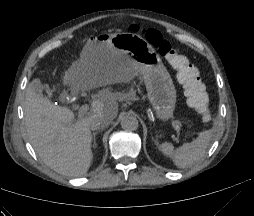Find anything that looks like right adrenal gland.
<instances>
[{
  "label": "right adrenal gland",
  "mask_w": 254,
  "mask_h": 216,
  "mask_svg": "<svg viewBox=\"0 0 254 216\" xmlns=\"http://www.w3.org/2000/svg\"><path fill=\"white\" fill-rule=\"evenodd\" d=\"M96 134H97V132H93V134H92V141H93V147H96Z\"/></svg>",
  "instance_id": "right-adrenal-gland-1"
}]
</instances>
